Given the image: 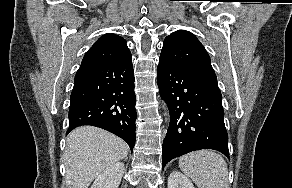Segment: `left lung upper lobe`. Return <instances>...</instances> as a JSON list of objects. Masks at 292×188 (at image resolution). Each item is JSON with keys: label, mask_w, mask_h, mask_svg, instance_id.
I'll return each mask as SVG.
<instances>
[{"label": "left lung upper lobe", "mask_w": 292, "mask_h": 188, "mask_svg": "<svg viewBox=\"0 0 292 188\" xmlns=\"http://www.w3.org/2000/svg\"><path fill=\"white\" fill-rule=\"evenodd\" d=\"M159 59L206 79L217 81L207 51L189 31L178 30L168 35Z\"/></svg>", "instance_id": "5c2ea615"}]
</instances>
